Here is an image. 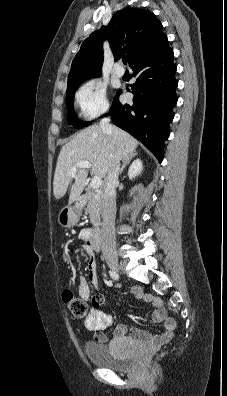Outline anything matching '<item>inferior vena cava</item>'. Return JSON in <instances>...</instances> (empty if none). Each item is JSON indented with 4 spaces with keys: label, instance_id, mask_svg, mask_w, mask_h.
Listing matches in <instances>:
<instances>
[{
    "label": "inferior vena cava",
    "instance_id": "obj_1",
    "mask_svg": "<svg viewBox=\"0 0 227 396\" xmlns=\"http://www.w3.org/2000/svg\"><path fill=\"white\" fill-rule=\"evenodd\" d=\"M100 128L109 138L112 136L113 127L110 119L105 117L100 121ZM120 159H116L113 167L108 171L104 180V193L102 197V251L105 256L116 255L115 214H116V187L120 172Z\"/></svg>",
    "mask_w": 227,
    "mask_h": 396
}]
</instances>
